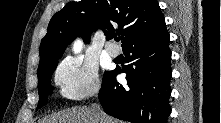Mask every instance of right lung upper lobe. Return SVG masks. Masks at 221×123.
Instances as JSON below:
<instances>
[{
	"instance_id": "obj_1",
	"label": "right lung upper lobe",
	"mask_w": 221,
	"mask_h": 123,
	"mask_svg": "<svg viewBox=\"0 0 221 123\" xmlns=\"http://www.w3.org/2000/svg\"><path fill=\"white\" fill-rule=\"evenodd\" d=\"M103 27L106 39L121 34L123 51L130 45L167 33L156 0H81L66 5L51 19L40 46L39 69L59 59L77 36L88 41Z\"/></svg>"
}]
</instances>
